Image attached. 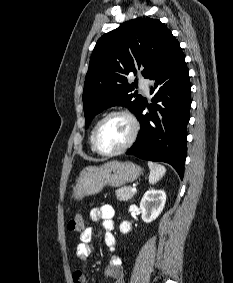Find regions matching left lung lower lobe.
<instances>
[{"label":"left lung lower lobe","instance_id":"0a47b994","mask_svg":"<svg viewBox=\"0 0 233 283\" xmlns=\"http://www.w3.org/2000/svg\"><path fill=\"white\" fill-rule=\"evenodd\" d=\"M148 78L153 81L150 93L154 94V104L142 102L135 114L141 131L127 154L169 163L183 179L191 84L179 43L172 47ZM145 107L149 112L144 115Z\"/></svg>","mask_w":233,"mask_h":283}]
</instances>
